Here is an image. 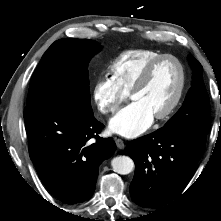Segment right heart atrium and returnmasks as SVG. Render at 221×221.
I'll list each match as a JSON object with an SVG mask.
<instances>
[{
    "mask_svg": "<svg viewBox=\"0 0 221 221\" xmlns=\"http://www.w3.org/2000/svg\"><path fill=\"white\" fill-rule=\"evenodd\" d=\"M92 97L98 110L104 115H110L118 111L127 94L111 78L103 76L94 83Z\"/></svg>",
    "mask_w": 221,
    "mask_h": 221,
    "instance_id": "right-heart-atrium-1",
    "label": "right heart atrium"
}]
</instances>
